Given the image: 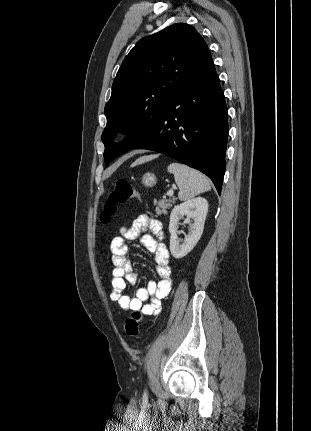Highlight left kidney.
Masks as SVG:
<instances>
[{"instance_id":"obj_1","label":"left kidney","mask_w":311,"mask_h":431,"mask_svg":"<svg viewBox=\"0 0 311 431\" xmlns=\"http://www.w3.org/2000/svg\"><path fill=\"white\" fill-rule=\"evenodd\" d=\"M207 212L208 202L205 198H194V200H187L179 206H174L169 221L170 251L173 257L179 259L193 249L202 235ZM183 216H187L184 223H189L190 231H188V235H185V239H179L177 235L178 223ZM191 217L193 223H190Z\"/></svg>"}]
</instances>
